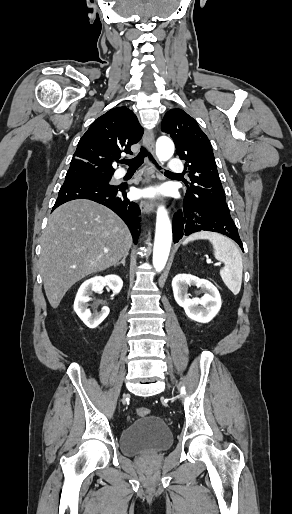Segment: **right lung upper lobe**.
<instances>
[{
    "instance_id": "right-lung-upper-lobe-1",
    "label": "right lung upper lobe",
    "mask_w": 292,
    "mask_h": 514,
    "mask_svg": "<svg viewBox=\"0 0 292 514\" xmlns=\"http://www.w3.org/2000/svg\"><path fill=\"white\" fill-rule=\"evenodd\" d=\"M143 135L136 115L127 107H116L96 119L81 137L67 173H114L112 163Z\"/></svg>"
}]
</instances>
